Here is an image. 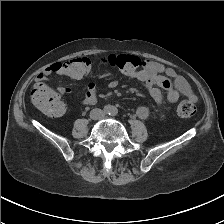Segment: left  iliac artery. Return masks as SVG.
I'll list each match as a JSON object with an SVG mask.
<instances>
[{"label": "left iliac artery", "mask_w": 224, "mask_h": 224, "mask_svg": "<svg viewBox=\"0 0 224 224\" xmlns=\"http://www.w3.org/2000/svg\"><path fill=\"white\" fill-rule=\"evenodd\" d=\"M112 116H116L118 114V110L116 108H112V111L110 113Z\"/></svg>", "instance_id": "1"}]
</instances>
